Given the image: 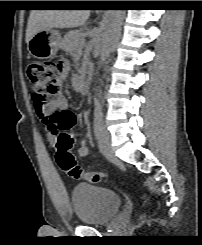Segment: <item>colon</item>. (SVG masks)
Returning <instances> with one entry per match:
<instances>
[{"label": "colon", "instance_id": "1", "mask_svg": "<svg viewBox=\"0 0 202 245\" xmlns=\"http://www.w3.org/2000/svg\"><path fill=\"white\" fill-rule=\"evenodd\" d=\"M66 75L67 67L61 60L31 61L27 66V76L35 95L34 107L38 114L44 115L48 131L56 136L58 167L71 178L99 183L106 175L85 170L72 153L76 140L70 129L78 122L77 116L68 110L51 112L48 109L53 99L60 96Z\"/></svg>", "mask_w": 202, "mask_h": 245}]
</instances>
